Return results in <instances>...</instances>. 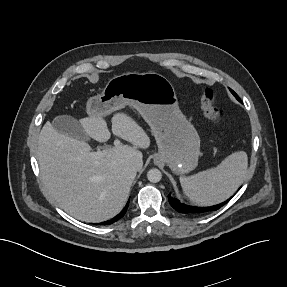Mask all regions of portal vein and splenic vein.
Wrapping results in <instances>:
<instances>
[{"label": "portal vein and splenic vein", "mask_w": 287, "mask_h": 287, "mask_svg": "<svg viewBox=\"0 0 287 287\" xmlns=\"http://www.w3.org/2000/svg\"><path fill=\"white\" fill-rule=\"evenodd\" d=\"M114 145H115V146H119V145H120V141H119L118 139H116V140L114 141ZM108 151H109L108 148H105V149H103V150H100V149H99L97 152H93V153H92V156H93V158H95V159H99V158L103 157L105 154H107Z\"/></svg>", "instance_id": "1"}]
</instances>
